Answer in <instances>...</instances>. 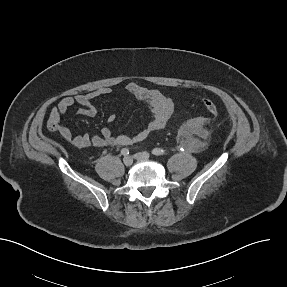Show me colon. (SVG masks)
<instances>
[{
  "label": "colon",
  "instance_id": "colon-1",
  "mask_svg": "<svg viewBox=\"0 0 287 287\" xmlns=\"http://www.w3.org/2000/svg\"><path fill=\"white\" fill-rule=\"evenodd\" d=\"M203 106L206 110V112L212 116H215L218 114V107L217 105L210 99H203ZM48 129L51 131V132H58L59 129H60V126H59V123L56 122V121H53L51 120L49 123H48Z\"/></svg>",
  "mask_w": 287,
  "mask_h": 287
}]
</instances>
